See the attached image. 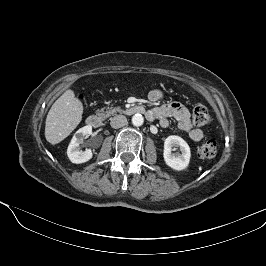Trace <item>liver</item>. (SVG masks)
Wrapping results in <instances>:
<instances>
[{"label":"liver","instance_id":"obj_1","mask_svg":"<svg viewBox=\"0 0 266 266\" xmlns=\"http://www.w3.org/2000/svg\"><path fill=\"white\" fill-rule=\"evenodd\" d=\"M83 104L72 90L65 91L52 105L45 125V138L54 145L61 142L82 120Z\"/></svg>","mask_w":266,"mask_h":266}]
</instances>
